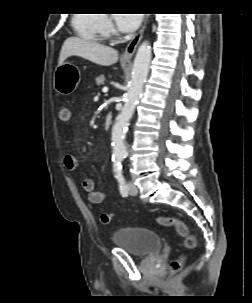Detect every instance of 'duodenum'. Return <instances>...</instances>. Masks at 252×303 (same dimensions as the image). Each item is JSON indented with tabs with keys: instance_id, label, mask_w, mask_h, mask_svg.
Returning <instances> with one entry per match:
<instances>
[{
	"instance_id": "obj_1",
	"label": "duodenum",
	"mask_w": 252,
	"mask_h": 303,
	"mask_svg": "<svg viewBox=\"0 0 252 303\" xmlns=\"http://www.w3.org/2000/svg\"><path fill=\"white\" fill-rule=\"evenodd\" d=\"M111 122H112V114L111 113H108L105 117V120L103 122V125H102V128L104 130L108 129L111 125Z\"/></svg>"
}]
</instances>
